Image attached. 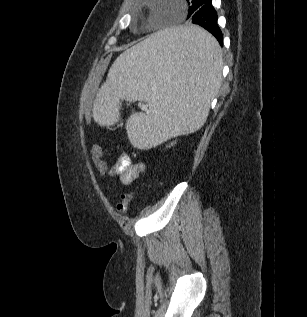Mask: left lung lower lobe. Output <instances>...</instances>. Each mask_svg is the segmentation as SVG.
<instances>
[{"label": "left lung lower lobe", "instance_id": "0a47b994", "mask_svg": "<svg viewBox=\"0 0 307 317\" xmlns=\"http://www.w3.org/2000/svg\"><path fill=\"white\" fill-rule=\"evenodd\" d=\"M193 24L200 25L210 32L223 46L222 32L217 24V12L212 6V0H199L196 9L190 16ZM170 44L176 48H185L203 59H214L215 50L210 45L188 36H175L171 39Z\"/></svg>", "mask_w": 307, "mask_h": 317}]
</instances>
